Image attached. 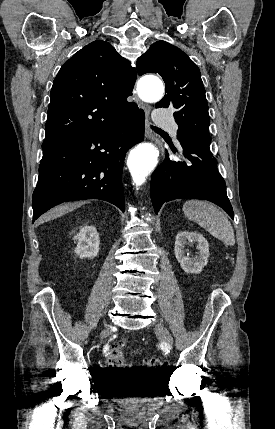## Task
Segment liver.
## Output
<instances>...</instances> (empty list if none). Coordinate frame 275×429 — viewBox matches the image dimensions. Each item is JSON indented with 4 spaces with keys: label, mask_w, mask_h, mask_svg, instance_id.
Segmentation results:
<instances>
[{
    "label": "liver",
    "mask_w": 275,
    "mask_h": 429,
    "mask_svg": "<svg viewBox=\"0 0 275 429\" xmlns=\"http://www.w3.org/2000/svg\"><path fill=\"white\" fill-rule=\"evenodd\" d=\"M70 207L69 206H59L56 207L54 209H52L51 211H49L48 213L44 214L38 221V223H43L51 218L57 217L58 215L66 212Z\"/></svg>",
    "instance_id": "1"
}]
</instances>
